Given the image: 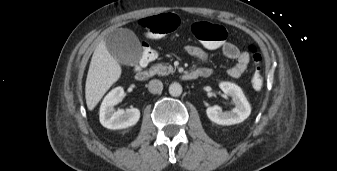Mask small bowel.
I'll return each mask as SVG.
<instances>
[{
	"label": "small bowel",
	"instance_id": "obj_1",
	"mask_svg": "<svg viewBox=\"0 0 337 171\" xmlns=\"http://www.w3.org/2000/svg\"><path fill=\"white\" fill-rule=\"evenodd\" d=\"M218 49L222 52V54L226 58L235 61V64L228 70L229 76L233 78L241 77L243 73L245 72V70L247 69L248 64L250 62L249 53L246 51L240 50L237 45L231 42L223 43V45ZM185 50L189 55L197 58L198 60L202 62H206L208 60V53L202 47H199L196 45H189L186 47ZM203 68H206V67H203Z\"/></svg>",
	"mask_w": 337,
	"mask_h": 171
}]
</instances>
